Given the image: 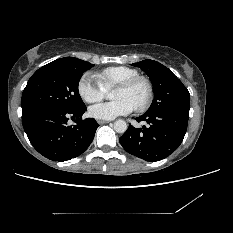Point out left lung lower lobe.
I'll return each mask as SVG.
<instances>
[{"label":"left lung lower lobe","instance_id":"obj_1","mask_svg":"<svg viewBox=\"0 0 233 233\" xmlns=\"http://www.w3.org/2000/svg\"><path fill=\"white\" fill-rule=\"evenodd\" d=\"M189 107L144 113L136 121H146L149 127L129 125L119 138L130 154L146 161H159L172 154L182 143L187 130Z\"/></svg>","mask_w":233,"mask_h":233}]
</instances>
